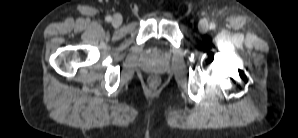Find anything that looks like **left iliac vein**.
<instances>
[{"instance_id":"obj_1","label":"left iliac vein","mask_w":298,"mask_h":138,"mask_svg":"<svg viewBox=\"0 0 298 138\" xmlns=\"http://www.w3.org/2000/svg\"><path fill=\"white\" fill-rule=\"evenodd\" d=\"M198 28H199V30H200L202 33H206V32L208 31V22H207V20L202 19V20L199 22Z\"/></svg>"}]
</instances>
